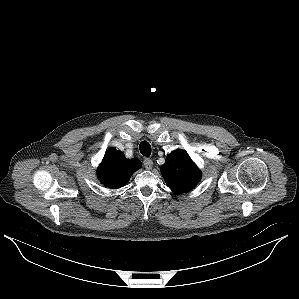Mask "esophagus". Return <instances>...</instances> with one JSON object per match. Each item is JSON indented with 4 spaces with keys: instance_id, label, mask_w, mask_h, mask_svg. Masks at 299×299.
<instances>
[{
    "instance_id": "obj_1",
    "label": "esophagus",
    "mask_w": 299,
    "mask_h": 299,
    "mask_svg": "<svg viewBox=\"0 0 299 299\" xmlns=\"http://www.w3.org/2000/svg\"><path fill=\"white\" fill-rule=\"evenodd\" d=\"M143 164L147 170H150L153 166V161L150 158H145Z\"/></svg>"
}]
</instances>
